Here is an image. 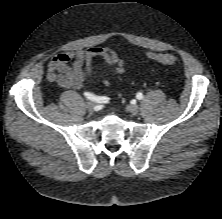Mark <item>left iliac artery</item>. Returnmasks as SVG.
<instances>
[{"instance_id":"1","label":"left iliac artery","mask_w":222,"mask_h":219,"mask_svg":"<svg viewBox=\"0 0 222 219\" xmlns=\"http://www.w3.org/2000/svg\"><path fill=\"white\" fill-rule=\"evenodd\" d=\"M136 97H137V99H139V100H141V99H143V94L142 93H137V95H136Z\"/></svg>"}]
</instances>
